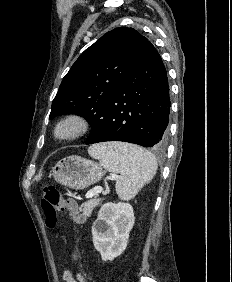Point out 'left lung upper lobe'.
<instances>
[{"label":"left lung upper lobe","mask_w":232,"mask_h":282,"mask_svg":"<svg viewBox=\"0 0 232 282\" xmlns=\"http://www.w3.org/2000/svg\"><path fill=\"white\" fill-rule=\"evenodd\" d=\"M148 39L133 28L107 32L86 49L63 78L49 119L75 113L93 127L138 63Z\"/></svg>","instance_id":"left-lung-upper-lobe-1"}]
</instances>
